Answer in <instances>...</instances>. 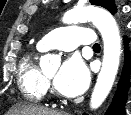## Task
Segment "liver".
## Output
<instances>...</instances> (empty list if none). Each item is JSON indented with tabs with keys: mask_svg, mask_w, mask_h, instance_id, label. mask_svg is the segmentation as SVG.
<instances>
[{
	"mask_svg": "<svg viewBox=\"0 0 131 115\" xmlns=\"http://www.w3.org/2000/svg\"><path fill=\"white\" fill-rule=\"evenodd\" d=\"M10 113L11 115H60L59 112L33 105H16Z\"/></svg>",
	"mask_w": 131,
	"mask_h": 115,
	"instance_id": "obj_1",
	"label": "liver"
}]
</instances>
